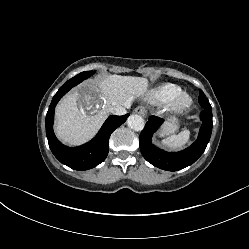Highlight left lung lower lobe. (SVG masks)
I'll use <instances>...</instances> for the list:
<instances>
[{
  "instance_id": "1",
  "label": "left lung lower lobe",
  "mask_w": 249,
  "mask_h": 249,
  "mask_svg": "<svg viewBox=\"0 0 249 249\" xmlns=\"http://www.w3.org/2000/svg\"><path fill=\"white\" fill-rule=\"evenodd\" d=\"M198 100L203 107L200 115L202 126L197 140L182 151L166 152L151 143L152 135L163 123V119L157 116L149 117L139 137L141 153L148 162L163 170L177 171L193 164L202 155L212 132V109L203 92L199 94Z\"/></svg>"
}]
</instances>
